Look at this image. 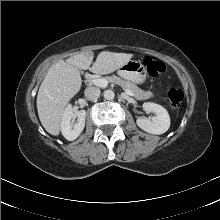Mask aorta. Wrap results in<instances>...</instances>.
I'll return each mask as SVG.
<instances>
[{
    "mask_svg": "<svg viewBox=\"0 0 220 220\" xmlns=\"http://www.w3.org/2000/svg\"><path fill=\"white\" fill-rule=\"evenodd\" d=\"M115 97V93L112 90H105L104 91V98L106 100H113Z\"/></svg>",
    "mask_w": 220,
    "mask_h": 220,
    "instance_id": "762f6f07",
    "label": "aorta"
}]
</instances>
